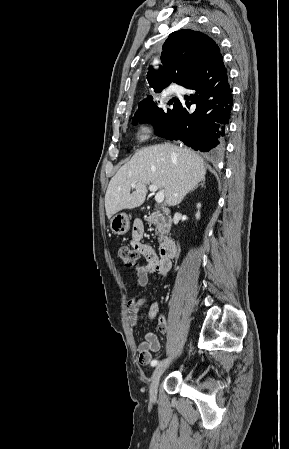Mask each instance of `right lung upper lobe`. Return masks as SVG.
<instances>
[{
	"instance_id": "right-lung-upper-lobe-1",
	"label": "right lung upper lobe",
	"mask_w": 289,
	"mask_h": 449,
	"mask_svg": "<svg viewBox=\"0 0 289 449\" xmlns=\"http://www.w3.org/2000/svg\"><path fill=\"white\" fill-rule=\"evenodd\" d=\"M162 49L163 66L160 65L158 71L150 67L147 74L148 83L155 92L162 91L172 82L184 86L203 81L224 65L218 45L202 32L190 29L175 31L169 35Z\"/></svg>"
}]
</instances>
